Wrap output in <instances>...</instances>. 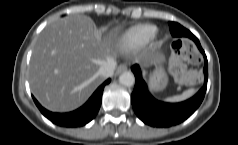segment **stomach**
Masks as SVG:
<instances>
[{"instance_id": "obj_1", "label": "stomach", "mask_w": 238, "mask_h": 145, "mask_svg": "<svg viewBox=\"0 0 238 145\" xmlns=\"http://www.w3.org/2000/svg\"><path fill=\"white\" fill-rule=\"evenodd\" d=\"M161 61L162 59L156 63V68L149 77V86L153 91H161L165 89L168 84V76L161 66Z\"/></svg>"}]
</instances>
